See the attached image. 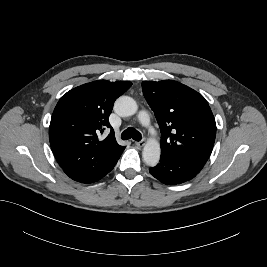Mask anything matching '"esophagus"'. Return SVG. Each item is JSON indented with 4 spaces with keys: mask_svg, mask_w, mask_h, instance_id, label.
Returning a JSON list of instances; mask_svg holds the SVG:
<instances>
[{
    "mask_svg": "<svg viewBox=\"0 0 267 267\" xmlns=\"http://www.w3.org/2000/svg\"><path fill=\"white\" fill-rule=\"evenodd\" d=\"M144 141H137L135 142V145L138 147V148H142L144 146Z\"/></svg>",
    "mask_w": 267,
    "mask_h": 267,
    "instance_id": "1",
    "label": "esophagus"
}]
</instances>
